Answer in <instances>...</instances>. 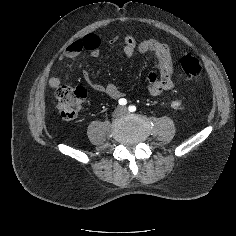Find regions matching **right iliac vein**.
I'll use <instances>...</instances> for the list:
<instances>
[{
    "instance_id": "obj_1",
    "label": "right iliac vein",
    "mask_w": 236,
    "mask_h": 236,
    "mask_svg": "<svg viewBox=\"0 0 236 236\" xmlns=\"http://www.w3.org/2000/svg\"><path fill=\"white\" fill-rule=\"evenodd\" d=\"M121 113V110H117L116 112H115V115L117 116V115H119Z\"/></svg>"
}]
</instances>
